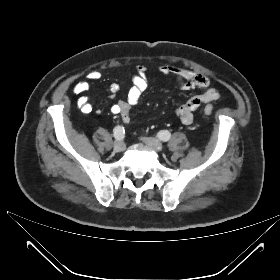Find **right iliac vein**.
<instances>
[{
  "instance_id": "1",
  "label": "right iliac vein",
  "mask_w": 280,
  "mask_h": 280,
  "mask_svg": "<svg viewBox=\"0 0 280 280\" xmlns=\"http://www.w3.org/2000/svg\"><path fill=\"white\" fill-rule=\"evenodd\" d=\"M114 150L116 152H122L125 150V143L123 141H116L114 143Z\"/></svg>"
}]
</instances>
